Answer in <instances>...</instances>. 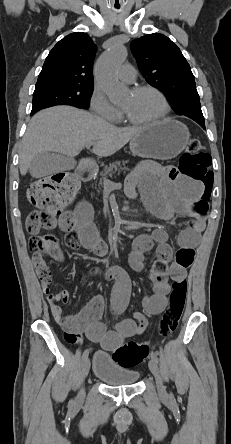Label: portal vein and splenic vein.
I'll return each mask as SVG.
<instances>
[{
    "label": "portal vein and splenic vein",
    "instance_id": "obj_1",
    "mask_svg": "<svg viewBox=\"0 0 231 444\" xmlns=\"http://www.w3.org/2000/svg\"><path fill=\"white\" fill-rule=\"evenodd\" d=\"M92 145H93V143H87L85 146L87 149H90V147ZM103 184L105 187H111V188L117 187V184L113 183L111 180H109L107 178L103 179Z\"/></svg>",
    "mask_w": 231,
    "mask_h": 444
}]
</instances>
